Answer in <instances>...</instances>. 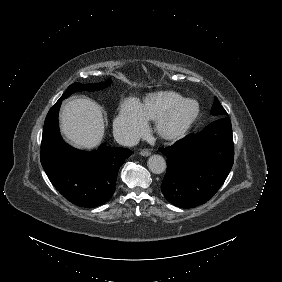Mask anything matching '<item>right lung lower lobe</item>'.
<instances>
[{
	"label": "right lung lower lobe",
	"mask_w": 282,
	"mask_h": 282,
	"mask_svg": "<svg viewBox=\"0 0 282 282\" xmlns=\"http://www.w3.org/2000/svg\"><path fill=\"white\" fill-rule=\"evenodd\" d=\"M62 100L57 101L45 119L41 164L51 183L67 200L86 208L100 206L112 197L119 168L132 152L101 145L88 153L67 145L58 127Z\"/></svg>",
	"instance_id": "right-lung-lower-lobe-1"
}]
</instances>
